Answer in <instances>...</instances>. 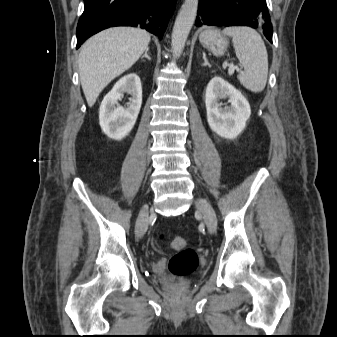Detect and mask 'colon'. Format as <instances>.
Masks as SVG:
<instances>
[{"instance_id": "1", "label": "colon", "mask_w": 337, "mask_h": 337, "mask_svg": "<svg viewBox=\"0 0 337 337\" xmlns=\"http://www.w3.org/2000/svg\"><path fill=\"white\" fill-rule=\"evenodd\" d=\"M163 236L161 235L160 238ZM170 245L176 251L169 261L168 269L174 277H184L193 273L198 266V256L193 249L185 248L184 238L174 237Z\"/></svg>"}]
</instances>
